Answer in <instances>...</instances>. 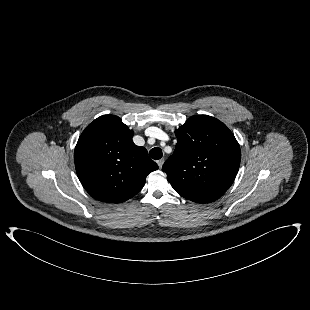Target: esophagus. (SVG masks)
Here are the masks:
<instances>
[{"label": "esophagus", "instance_id": "1", "mask_svg": "<svg viewBox=\"0 0 310 310\" xmlns=\"http://www.w3.org/2000/svg\"><path fill=\"white\" fill-rule=\"evenodd\" d=\"M163 163H164V159H160L157 161V164H158L160 169L162 168Z\"/></svg>", "mask_w": 310, "mask_h": 310}]
</instances>
